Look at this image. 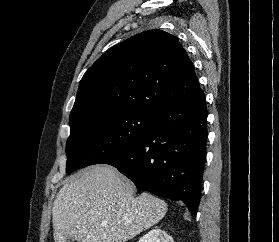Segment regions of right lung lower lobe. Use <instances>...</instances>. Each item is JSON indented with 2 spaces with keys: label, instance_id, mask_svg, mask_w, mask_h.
<instances>
[{
  "label": "right lung lower lobe",
  "instance_id": "right-lung-lower-lobe-1",
  "mask_svg": "<svg viewBox=\"0 0 279 242\" xmlns=\"http://www.w3.org/2000/svg\"><path fill=\"white\" fill-rule=\"evenodd\" d=\"M205 94L164 107L148 135L101 164L116 167L138 190L182 200L196 214L206 158Z\"/></svg>",
  "mask_w": 279,
  "mask_h": 242
}]
</instances>
